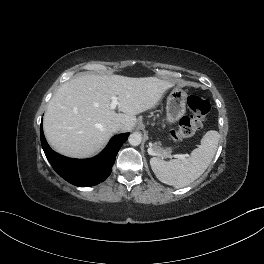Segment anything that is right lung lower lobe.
Wrapping results in <instances>:
<instances>
[{"label": "right lung lower lobe", "mask_w": 264, "mask_h": 264, "mask_svg": "<svg viewBox=\"0 0 264 264\" xmlns=\"http://www.w3.org/2000/svg\"><path fill=\"white\" fill-rule=\"evenodd\" d=\"M40 131L42 148L53 169L78 187L94 186L105 180L112 172L117 152L129 136V133H123L112 137L106 148L94 158L72 159L54 152L44 137L42 126Z\"/></svg>", "instance_id": "1"}]
</instances>
